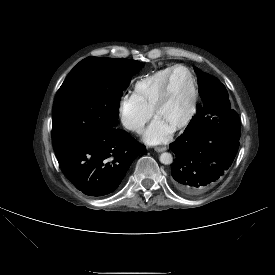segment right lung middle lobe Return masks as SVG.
I'll use <instances>...</instances> for the list:
<instances>
[{"mask_svg": "<svg viewBox=\"0 0 275 275\" xmlns=\"http://www.w3.org/2000/svg\"><path fill=\"white\" fill-rule=\"evenodd\" d=\"M144 66L136 60L88 57L59 88L52 113L54 148L63 142L114 128L120 95Z\"/></svg>", "mask_w": 275, "mask_h": 275, "instance_id": "1", "label": "right lung middle lobe"}]
</instances>
